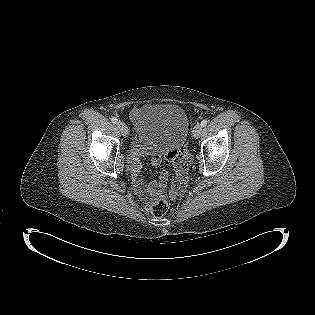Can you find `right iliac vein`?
Instances as JSON below:
<instances>
[{
	"label": "right iliac vein",
	"instance_id": "63e3f726",
	"mask_svg": "<svg viewBox=\"0 0 315 315\" xmlns=\"http://www.w3.org/2000/svg\"><path fill=\"white\" fill-rule=\"evenodd\" d=\"M118 129L120 130V132L122 133L123 136H127L128 135V127L125 123L123 122H118L117 123Z\"/></svg>",
	"mask_w": 315,
	"mask_h": 315
}]
</instances>
